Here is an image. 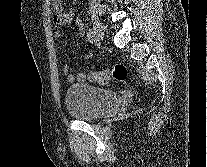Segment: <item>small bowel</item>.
<instances>
[{
  "mask_svg": "<svg viewBox=\"0 0 207 167\" xmlns=\"http://www.w3.org/2000/svg\"><path fill=\"white\" fill-rule=\"evenodd\" d=\"M53 6L56 10V14L54 16V22L57 25H67L73 21V19L75 17V12L73 10H65L63 8L60 0H53ZM78 27H79L80 33L82 35H86L84 24L80 18L78 20ZM55 36H56V38H60L62 36V34H61V32H56ZM84 57H85V59H90L92 57V51L89 50L85 54ZM63 73L66 76L67 81H69V82H74V81L82 82V81L86 80L85 73L73 74L70 72V68L67 64H65L63 66Z\"/></svg>",
  "mask_w": 207,
  "mask_h": 167,
  "instance_id": "1",
  "label": "small bowel"
}]
</instances>
